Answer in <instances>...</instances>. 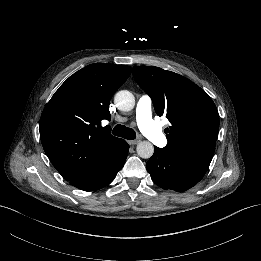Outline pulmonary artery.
<instances>
[{"instance_id": "pulmonary-artery-1", "label": "pulmonary artery", "mask_w": 261, "mask_h": 261, "mask_svg": "<svg viewBox=\"0 0 261 261\" xmlns=\"http://www.w3.org/2000/svg\"><path fill=\"white\" fill-rule=\"evenodd\" d=\"M136 122L138 127L152 139L153 143L162 150L170 147V141L163 132L155 127L152 121V101L143 95L136 106ZM159 128H161L159 126Z\"/></svg>"}]
</instances>
